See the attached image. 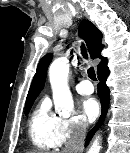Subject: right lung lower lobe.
Instances as JSON below:
<instances>
[{
	"mask_svg": "<svg viewBox=\"0 0 130 153\" xmlns=\"http://www.w3.org/2000/svg\"><path fill=\"white\" fill-rule=\"evenodd\" d=\"M98 74V79L100 83L98 84V95L101 101L102 105V114L100 116V119L98 123L95 125V127L89 132V134L86 137V143L85 146L88 145L91 137L96 132V130L101 126L102 122L104 121V118L106 116L108 107H109V100H110V91L108 86L106 85V80L109 75V69L107 66H105Z\"/></svg>",
	"mask_w": 130,
	"mask_h": 153,
	"instance_id": "1",
	"label": "right lung lower lobe"
}]
</instances>
